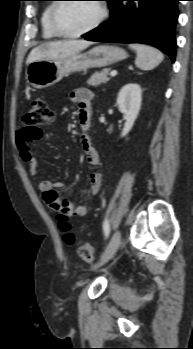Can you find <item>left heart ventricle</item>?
Returning <instances> with one entry per match:
<instances>
[{
  "label": "left heart ventricle",
  "mask_w": 193,
  "mask_h": 349,
  "mask_svg": "<svg viewBox=\"0 0 193 349\" xmlns=\"http://www.w3.org/2000/svg\"><path fill=\"white\" fill-rule=\"evenodd\" d=\"M100 14L94 2L63 4L56 16L57 25L63 32L75 33L92 25Z\"/></svg>",
  "instance_id": "obj_1"
}]
</instances>
